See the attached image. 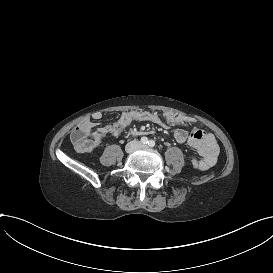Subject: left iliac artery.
<instances>
[{
    "label": "left iliac artery",
    "instance_id": "1",
    "mask_svg": "<svg viewBox=\"0 0 273 273\" xmlns=\"http://www.w3.org/2000/svg\"><path fill=\"white\" fill-rule=\"evenodd\" d=\"M148 145H149L150 147H154V146H155V141H154V140H150V141L148 142Z\"/></svg>",
    "mask_w": 273,
    "mask_h": 273
}]
</instances>
